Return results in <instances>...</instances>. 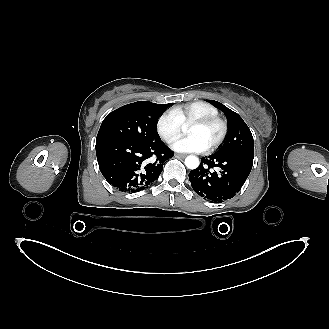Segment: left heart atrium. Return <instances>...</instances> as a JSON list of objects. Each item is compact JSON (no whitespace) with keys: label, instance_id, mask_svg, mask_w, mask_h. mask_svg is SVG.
Instances as JSON below:
<instances>
[{"label":"left heart atrium","instance_id":"left-heart-atrium-1","mask_svg":"<svg viewBox=\"0 0 329 329\" xmlns=\"http://www.w3.org/2000/svg\"><path fill=\"white\" fill-rule=\"evenodd\" d=\"M171 147L178 152H203L207 149L203 141L196 135L180 138Z\"/></svg>","mask_w":329,"mask_h":329}]
</instances>
